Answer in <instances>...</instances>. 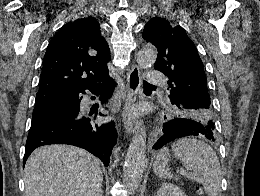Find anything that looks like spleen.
<instances>
[{
  "instance_id": "spleen-1",
  "label": "spleen",
  "mask_w": 260,
  "mask_h": 196,
  "mask_svg": "<svg viewBox=\"0 0 260 196\" xmlns=\"http://www.w3.org/2000/svg\"><path fill=\"white\" fill-rule=\"evenodd\" d=\"M172 150L184 168L190 170L186 174L188 180L201 184L207 196H218L222 174L220 162L213 148L195 138H181L174 142ZM168 162L169 150L162 148L154 160L153 172L158 178H164V180H172V178L179 180L177 176L171 174L170 168H167Z\"/></svg>"
}]
</instances>
